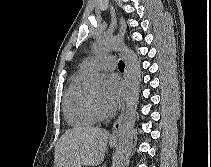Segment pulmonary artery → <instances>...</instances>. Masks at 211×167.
<instances>
[{
	"label": "pulmonary artery",
	"instance_id": "pulmonary-artery-1",
	"mask_svg": "<svg viewBox=\"0 0 211 167\" xmlns=\"http://www.w3.org/2000/svg\"><path fill=\"white\" fill-rule=\"evenodd\" d=\"M82 66L89 71L113 70L116 68L117 63L113 56L103 55L85 59L82 63Z\"/></svg>",
	"mask_w": 211,
	"mask_h": 167
}]
</instances>
